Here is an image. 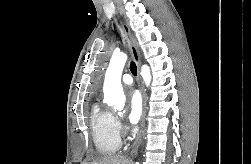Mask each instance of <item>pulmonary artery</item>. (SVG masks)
I'll list each match as a JSON object with an SVG mask.
<instances>
[{"label":"pulmonary artery","instance_id":"1","mask_svg":"<svg viewBox=\"0 0 251 164\" xmlns=\"http://www.w3.org/2000/svg\"><path fill=\"white\" fill-rule=\"evenodd\" d=\"M122 82L126 85H131L133 83V79L130 74H124L122 76Z\"/></svg>","mask_w":251,"mask_h":164}]
</instances>
